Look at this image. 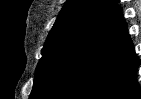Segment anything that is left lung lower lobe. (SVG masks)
<instances>
[{
	"instance_id": "obj_1",
	"label": "left lung lower lobe",
	"mask_w": 141,
	"mask_h": 99,
	"mask_svg": "<svg viewBox=\"0 0 141 99\" xmlns=\"http://www.w3.org/2000/svg\"><path fill=\"white\" fill-rule=\"evenodd\" d=\"M139 64L116 7L38 99H140Z\"/></svg>"
}]
</instances>
